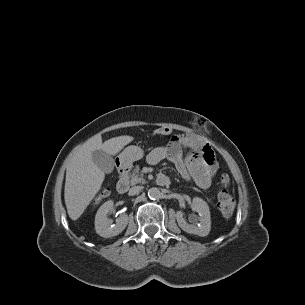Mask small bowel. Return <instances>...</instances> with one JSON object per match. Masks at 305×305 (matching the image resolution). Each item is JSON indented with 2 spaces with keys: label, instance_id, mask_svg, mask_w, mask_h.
I'll return each mask as SVG.
<instances>
[{
  "label": "small bowel",
  "instance_id": "small-bowel-1",
  "mask_svg": "<svg viewBox=\"0 0 305 305\" xmlns=\"http://www.w3.org/2000/svg\"><path fill=\"white\" fill-rule=\"evenodd\" d=\"M147 160L152 165L164 160L173 163L184 179L193 181L204 190L209 188L218 169L210 145L199 136L185 132L174 135L166 145L153 149Z\"/></svg>",
  "mask_w": 305,
  "mask_h": 305
}]
</instances>
